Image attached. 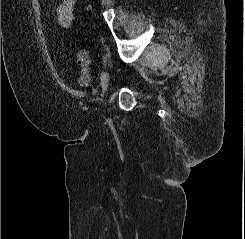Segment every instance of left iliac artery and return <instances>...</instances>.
<instances>
[{
  "label": "left iliac artery",
  "mask_w": 245,
  "mask_h": 239,
  "mask_svg": "<svg viewBox=\"0 0 245 239\" xmlns=\"http://www.w3.org/2000/svg\"><path fill=\"white\" fill-rule=\"evenodd\" d=\"M104 77H105V72H104V71H102V72H101V75H100V80H101V83L103 82Z\"/></svg>",
  "instance_id": "obj_1"
}]
</instances>
